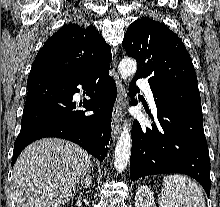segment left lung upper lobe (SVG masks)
Wrapping results in <instances>:
<instances>
[{"label":"left lung upper lobe","instance_id":"5c2ea615","mask_svg":"<svg viewBox=\"0 0 220 207\" xmlns=\"http://www.w3.org/2000/svg\"><path fill=\"white\" fill-rule=\"evenodd\" d=\"M122 45L137 61L135 76L148 77L151 88L176 80L197 83L182 40L164 24L142 17L128 27Z\"/></svg>","mask_w":220,"mask_h":207}]
</instances>
